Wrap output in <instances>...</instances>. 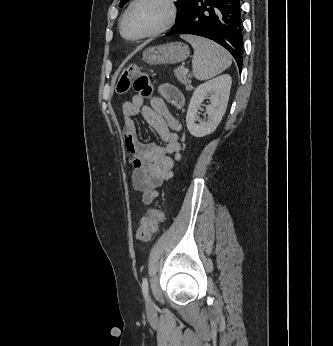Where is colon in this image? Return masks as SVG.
Wrapping results in <instances>:
<instances>
[{
    "mask_svg": "<svg viewBox=\"0 0 333 346\" xmlns=\"http://www.w3.org/2000/svg\"><path fill=\"white\" fill-rule=\"evenodd\" d=\"M133 89L141 97L147 98L152 95V85L148 74L135 65L127 66L117 83V92L125 94ZM163 220V214L159 209H150L142 218L136 229V238L141 242L150 240L157 231L159 223Z\"/></svg>",
    "mask_w": 333,
    "mask_h": 346,
    "instance_id": "5ec220e1",
    "label": "colon"
}]
</instances>
